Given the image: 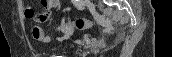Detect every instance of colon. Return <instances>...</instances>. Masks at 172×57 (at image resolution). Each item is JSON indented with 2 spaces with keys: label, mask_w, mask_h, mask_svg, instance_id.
Masks as SVG:
<instances>
[{
  "label": "colon",
  "mask_w": 172,
  "mask_h": 57,
  "mask_svg": "<svg viewBox=\"0 0 172 57\" xmlns=\"http://www.w3.org/2000/svg\"><path fill=\"white\" fill-rule=\"evenodd\" d=\"M26 13L28 15H31L32 14V10H31L30 7H27L26 8ZM92 25H93L92 21H90L88 19H84V18H78V19L74 20L73 22H71L69 24H67V23L61 24L59 26L58 30L68 31V29L71 26H74V27H76L79 30H84V29H88V28L92 27ZM42 34H43L42 31L38 29L34 33L33 38L37 40V39L41 38Z\"/></svg>",
  "instance_id": "5ec220e1"
}]
</instances>
